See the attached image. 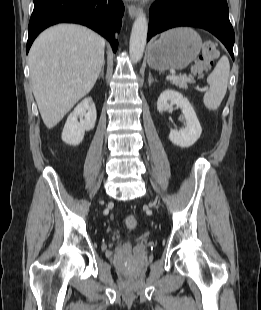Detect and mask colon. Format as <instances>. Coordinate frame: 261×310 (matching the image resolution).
Listing matches in <instances>:
<instances>
[{
	"label": "colon",
	"mask_w": 261,
	"mask_h": 310,
	"mask_svg": "<svg viewBox=\"0 0 261 310\" xmlns=\"http://www.w3.org/2000/svg\"><path fill=\"white\" fill-rule=\"evenodd\" d=\"M217 56L218 52L215 45L213 43H206L193 66V72L197 75L203 74L210 69ZM125 224L128 229H135L138 226V219L134 215H129L125 219Z\"/></svg>",
	"instance_id": "5ec220e1"
}]
</instances>
